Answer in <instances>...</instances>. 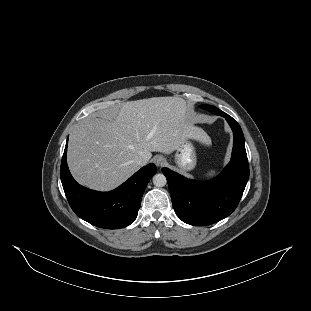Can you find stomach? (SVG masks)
<instances>
[{
  "label": "stomach",
  "instance_id": "1",
  "mask_svg": "<svg viewBox=\"0 0 311 311\" xmlns=\"http://www.w3.org/2000/svg\"><path fill=\"white\" fill-rule=\"evenodd\" d=\"M174 157L175 163L182 173L194 169L197 164L196 149L189 140L179 146Z\"/></svg>",
  "mask_w": 311,
  "mask_h": 311
}]
</instances>
